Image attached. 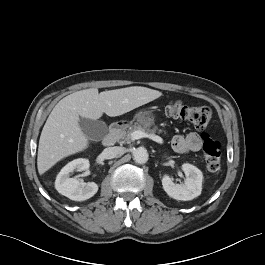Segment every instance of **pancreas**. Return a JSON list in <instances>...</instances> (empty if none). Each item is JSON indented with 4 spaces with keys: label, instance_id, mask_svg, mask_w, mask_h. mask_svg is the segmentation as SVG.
I'll return each mask as SVG.
<instances>
[{
    "label": "pancreas",
    "instance_id": "obj_1",
    "mask_svg": "<svg viewBox=\"0 0 265 265\" xmlns=\"http://www.w3.org/2000/svg\"><path fill=\"white\" fill-rule=\"evenodd\" d=\"M137 130H140V131H143L147 134H154L156 132V128H153V129H150V128H147V127H142L141 125L139 124H134L132 126H130L128 129H123V130H120L119 132H117V134L115 135V139L116 141H118L120 144H129L132 140L131 138V134L134 132V131H137ZM161 132V130H159V133Z\"/></svg>",
    "mask_w": 265,
    "mask_h": 265
}]
</instances>
